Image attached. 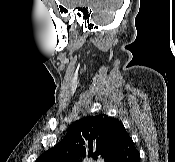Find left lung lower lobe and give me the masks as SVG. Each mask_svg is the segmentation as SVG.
I'll return each instance as SVG.
<instances>
[{
  "label": "left lung lower lobe",
  "instance_id": "0a47b994",
  "mask_svg": "<svg viewBox=\"0 0 175 162\" xmlns=\"http://www.w3.org/2000/svg\"><path fill=\"white\" fill-rule=\"evenodd\" d=\"M109 162H140L139 152L127 132L122 136Z\"/></svg>",
  "mask_w": 175,
  "mask_h": 162
}]
</instances>
